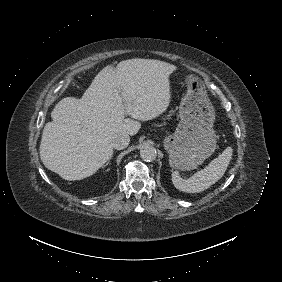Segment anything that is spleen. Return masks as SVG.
Returning <instances> with one entry per match:
<instances>
[{
    "instance_id": "1",
    "label": "spleen",
    "mask_w": 282,
    "mask_h": 282,
    "mask_svg": "<svg viewBox=\"0 0 282 282\" xmlns=\"http://www.w3.org/2000/svg\"><path fill=\"white\" fill-rule=\"evenodd\" d=\"M233 149L227 147L217 158L212 160L208 166L195 173L187 180L179 176L178 171L172 173L174 186L180 191L187 193H199L215 184L224 175L230 160Z\"/></svg>"
}]
</instances>
